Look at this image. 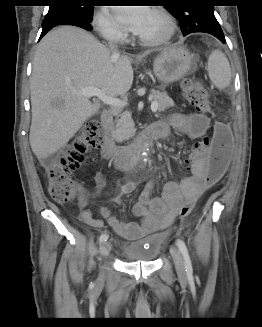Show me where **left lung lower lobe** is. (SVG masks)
Masks as SVG:
<instances>
[{
	"instance_id": "0a47b994",
	"label": "left lung lower lobe",
	"mask_w": 262,
	"mask_h": 327,
	"mask_svg": "<svg viewBox=\"0 0 262 327\" xmlns=\"http://www.w3.org/2000/svg\"><path fill=\"white\" fill-rule=\"evenodd\" d=\"M215 37L218 38L223 44L226 43V40H225L224 36L218 35V36H215Z\"/></svg>"
}]
</instances>
